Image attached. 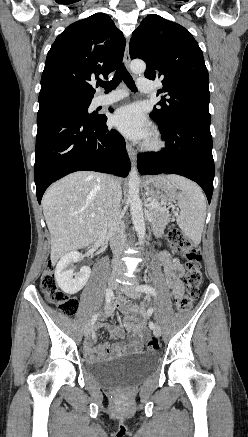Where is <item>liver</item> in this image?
I'll return each instance as SVG.
<instances>
[{"mask_svg": "<svg viewBox=\"0 0 248 437\" xmlns=\"http://www.w3.org/2000/svg\"><path fill=\"white\" fill-rule=\"evenodd\" d=\"M105 201L106 176L95 172H75L45 192L42 208L51 235L53 264L98 238L104 227Z\"/></svg>", "mask_w": 248, "mask_h": 437, "instance_id": "liver-1", "label": "liver"}]
</instances>
